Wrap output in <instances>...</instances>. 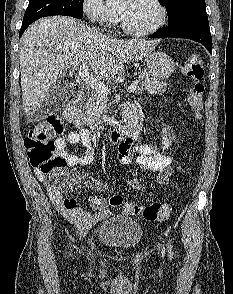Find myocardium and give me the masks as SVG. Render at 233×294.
Instances as JSON below:
<instances>
[{
  "mask_svg": "<svg viewBox=\"0 0 233 294\" xmlns=\"http://www.w3.org/2000/svg\"><path fill=\"white\" fill-rule=\"evenodd\" d=\"M151 2L158 8L160 16H159L158 22L149 29L138 30V29L132 28L127 23L124 15L121 12H119L121 26L127 34H130V35L136 36V37L149 36V35L156 33L157 31H159L166 24L168 12H167L165 5L161 2V0H151Z\"/></svg>",
  "mask_w": 233,
  "mask_h": 294,
  "instance_id": "myocardium-1",
  "label": "myocardium"
}]
</instances>
